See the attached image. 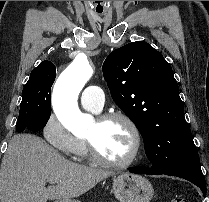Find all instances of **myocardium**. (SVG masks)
<instances>
[{"mask_svg":"<svg viewBox=\"0 0 209 202\" xmlns=\"http://www.w3.org/2000/svg\"><path fill=\"white\" fill-rule=\"evenodd\" d=\"M111 121L124 122L130 128L133 134L134 147L131 152V155L126 160L111 161L100 153V151L98 150L93 140H91L90 138H85V143L88 149L89 156L97 164L104 166V167L112 168V169H125L133 165L141 156L142 147H143L142 135L135 121L124 113L113 112V113L102 115L97 118V122L100 125H104Z\"/></svg>","mask_w":209,"mask_h":202,"instance_id":"f54148a6","label":"myocardium"}]
</instances>
